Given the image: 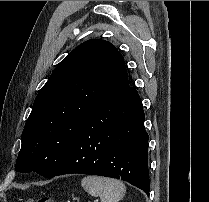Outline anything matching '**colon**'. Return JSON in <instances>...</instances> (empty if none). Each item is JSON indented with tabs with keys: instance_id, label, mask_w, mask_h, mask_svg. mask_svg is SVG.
I'll return each instance as SVG.
<instances>
[{
	"instance_id": "obj_1",
	"label": "colon",
	"mask_w": 209,
	"mask_h": 202,
	"mask_svg": "<svg viewBox=\"0 0 209 202\" xmlns=\"http://www.w3.org/2000/svg\"><path fill=\"white\" fill-rule=\"evenodd\" d=\"M27 202H63V201H54L52 198L50 197H40V198H37V199H34V198H30L27 200Z\"/></svg>"
}]
</instances>
